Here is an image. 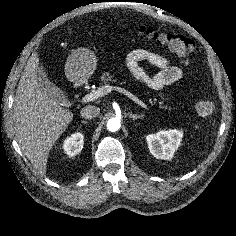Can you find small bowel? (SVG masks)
Wrapping results in <instances>:
<instances>
[{"mask_svg":"<svg viewBox=\"0 0 236 236\" xmlns=\"http://www.w3.org/2000/svg\"><path fill=\"white\" fill-rule=\"evenodd\" d=\"M143 63H149L162 70L159 74L150 76L145 71ZM126 64L136 80L153 90H160L167 85L180 81L184 77L183 70L170 59L145 49L131 51L127 55ZM161 97L165 98V95H161Z\"/></svg>","mask_w":236,"mask_h":236,"instance_id":"1","label":"small bowel"}]
</instances>
